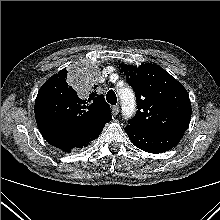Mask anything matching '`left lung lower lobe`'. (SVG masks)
<instances>
[{
    "label": "left lung lower lobe",
    "instance_id": "0a47b994",
    "mask_svg": "<svg viewBox=\"0 0 220 220\" xmlns=\"http://www.w3.org/2000/svg\"><path fill=\"white\" fill-rule=\"evenodd\" d=\"M125 132L136 147L154 154L170 150L183 137V133L152 132L140 130L131 125L125 127Z\"/></svg>",
    "mask_w": 220,
    "mask_h": 220
}]
</instances>
